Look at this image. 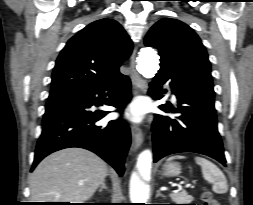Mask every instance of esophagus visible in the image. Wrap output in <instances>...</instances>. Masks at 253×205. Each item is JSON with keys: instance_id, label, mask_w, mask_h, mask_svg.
Segmentation results:
<instances>
[{"instance_id": "1", "label": "esophagus", "mask_w": 253, "mask_h": 205, "mask_svg": "<svg viewBox=\"0 0 253 205\" xmlns=\"http://www.w3.org/2000/svg\"><path fill=\"white\" fill-rule=\"evenodd\" d=\"M136 52L137 49L135 48L130 60V78L133 85L134 95L139 94L145 87V83L136 69ZM131 135H132V147L133 149L136 150L142 144L143 132L140 127H138L137 125H133L131 127Z\"/></svg>"}]
</instances>
